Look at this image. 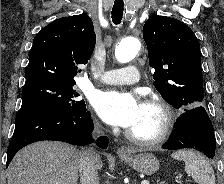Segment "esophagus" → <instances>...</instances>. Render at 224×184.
Instances as JSON below:
<instances>
[{"label": "esophagus", "mask_w": 224, "mask_h": 184, "mask_svg": "<svg viewBox=\"0 0 224 184\" xmlns=\"http://www.w3.org/2000/svg\"><path fill=\"white\" fill-rule=\"evenodd\" d=\"M117 154L119 156H128L130 154V152L126 148H124V147H119L117 149Z\"/></svg>", "instance_id": "esophagus-1"}]
</instances>
